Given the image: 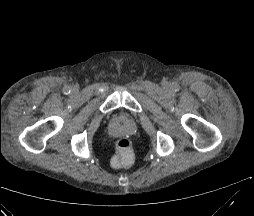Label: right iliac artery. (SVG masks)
<instances>
[{
	"label": "right iliac artery",
	"instance_id": "1",
	"mask_svg": "<svg viewBox=\"0 0 254 216\" xmlns=\"http://www.w3.org/2000/svg\"><path fill=\"white\" fill-rule=\"evenodd\" d=\"M70 91H71V90H70L69 87H65V88L63 89L64 94H69Z\"/></svg>",
	"mask_w": 254,
	"mask_h": 216
}]
</instances>
